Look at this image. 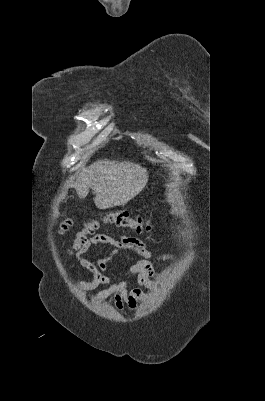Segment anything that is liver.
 Here are the masks:
<instances>
[{
  "instance_id": "1",
  "label": "liver",
  "mask_w": 265,
  "mask_h": 401,
  "mask_svg": "<svg viewBox=\"0 0 265 401\" xmlns=\"http://www.w3.org/2000/svg\"><path fill=\"white\" fill-rule=\"evenodd\" d=\"M147 180L148 172L140 164L104 158L81 170L74 186L80 198H85L92 188L97 209H111L129 203Z\"/></svg>"
}]
</instances>
